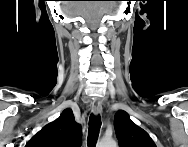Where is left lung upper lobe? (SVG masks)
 <instances>
[{"label": "left lung upper lobe", "mask_w": 188, "mask_h": 147, "mask_svg": "<svg viewBox=\"0 0 188 147\" xmlns=\"http://www.w3.org/2000/svg\"><path fill=\"white\" fill-rule=\"evenodd\" d=\"M114 127L119 147H156L147 132L134 124L124 111L115 115Z\"/></svg>", "instance_id": "1"}]
</instances>
